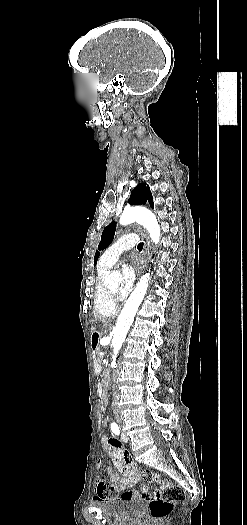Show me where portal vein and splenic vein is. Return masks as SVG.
<instances>
[{
    "instance_id": "obj_1",
    "label": "portal vein and splenic vein",
    "mask_w": 247,
    "mask_h": 525,
    "mask_svg": "<svg viewBox=\"0 0 247 525\" xmlns=\"http://www.w3.org/2000/svg\"><path fill=\"white\" fill-rule=\"evenodd\" d=\"M100 356H104V353H100ZM103 364H106V358H103Z\"/></svg>"
}]
</instances>
